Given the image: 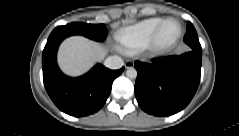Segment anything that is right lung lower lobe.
Wrapping results in <instances>:
<instances>
[{"mask_svg":"<svg viewBox=\"0 0 239 136\" xmlns=\"http://www.w3.org/2000/svg\"><path fill=\"white\" fill-rule=\"evenodd\" d=\"M67 36L54 30L42 54L43 81L54 104L66 114L82 117L97 112L106 102L112 83L124 70H109L97 64L87 74L70 78L58 68L57 49Z\"/></svg>","mask_w":239,"mask_h":136,"instance_id":"98d812e1","label":"right lung lower lobe"}]
</instances>
